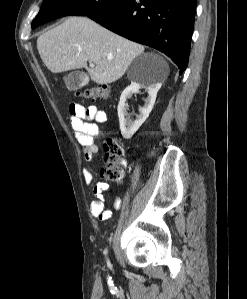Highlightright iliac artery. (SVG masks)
Masks as SVG:
<instances>
[{
	"label": "right iliac artery",
	"mask_w": 247,
	"mask_h": 299,
	"mask_svg": "<svg viewBox=\"0 0 247 299\" xmlns=\"http://www.w3.org/2000/svg\"><path fill=\"white\" fill-rule=\"evenodd\" d=\"M105 254H107V249L104 251Z\"/></svg>",
	"instance_id": "82829eb1"
}]
</instances>
